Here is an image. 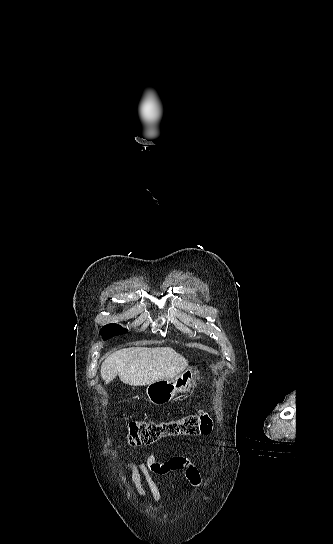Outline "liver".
I'll return each mask as SVG.
<instances>
[{
	"label": "liver",
	"instance_id": "obj_1",
	"mask_svg": "<svg viewBox=\"0 0 333 544\" xmlns=\"http://www.w3.org/2000/svg\"><path fill=\"white\" fill-rule=\"evenodd\" d=\"M188 366V361L170 347H131L110 354L101 365L106 384L118 375L131 386H145L161 379H173Z\"/></svg>",
	"mask_w": 333,
	"mask_h": 544
}]
</instances>
